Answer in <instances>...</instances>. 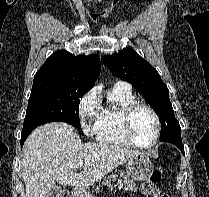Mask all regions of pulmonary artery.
<instances>
[{
  "mask_svg": "<svg viewBox=\"0 0 209 197\" xmlns=\"http://www.w3.org/2000/svg\"><path fill=\"white\" fill-rule=\"evenodd\" d=\"M117 85H128V84L125 82L119 81V82H117Z\"/></svg>",
  "mask_w": 209,
  "mask_h": 197,
  "instance_id": "obj_1",
  "label": "pulmonary artery"
}]
</instances>
